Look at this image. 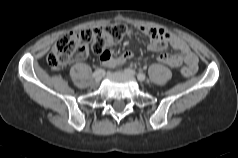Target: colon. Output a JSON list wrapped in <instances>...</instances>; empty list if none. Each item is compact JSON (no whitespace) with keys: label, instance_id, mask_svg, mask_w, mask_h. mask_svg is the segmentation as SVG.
<instances>
[{"label":"colon","instance_id":"colon-1","mask_svg":"<svg viewBox=\"0 0 238 158\" xmlns=\"http://www.w3.org/2000/svg\"><path fill=\"white\" fill-rule=\"evenodd\" d=\"M127 33V28L120 24L104 28L76 30L61 36L52 47L47 62L53 70H60L73 59H80L91 50L102 54L106 48L120 41ZM196 73V66L183 65V77H191Z\"/></svg>","mask_w":238,"mask_h":158}]
</instances>
